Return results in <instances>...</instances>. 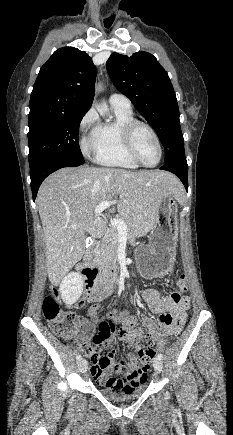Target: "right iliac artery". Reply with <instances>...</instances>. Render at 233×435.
I'll use <instances>...</instances> for the list:
<instances>
[{
  "instance_id": "obj_1",
  "label": "right iliac artery",
  "mask_w": 233,
  "mask_h": 435,
  "mask_svg": "<svg viewBox=\"0 0 233 435\" xmlns=\"http://www.w3.org/2000/svg\"><path fill=\"white\" fill-rule=\"evenodd\" d=\"M77 361H81V359H82V356L81 355H77Z\"/></svg>"
}]
</instances>
